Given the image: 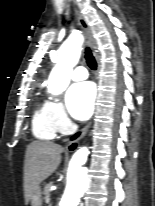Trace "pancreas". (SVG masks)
Instances as JSON below:
<instances>
[{
  "label": "pancreas",
  "instance_id": "cf45deb5",
  "mask_svg": "<svg viewBox=\"0 0 155 206\" xmlns=\"http://www.w3.org/2000/svg\"><path fill=\"white\" fill-rule=\"evenodd\" d=\"M52 186V182L50 181L49 183H47L44 187L43 193L45 195V200L48 202L50 200V192H49V188Z\"/></svg>",
  "mask_w": 155,
  "mask_h": 206
}]
</instances>
